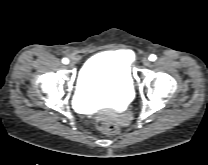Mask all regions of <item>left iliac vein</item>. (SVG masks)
I'll return each instance as SVG.
<instances>
[{"instance_id":"1","label":"left iliac vein","mask_w":208,"mask_h":165,"mask_svg":"<svg viewBox=\"0 0 208 165\" xmlns=\"http://www.w3.org/2000/svg\"><path fill=\"white\" fill-rule=\"evenodd\" d=\"M142 63L144 66H149L150 65V60L148 58H143Z\"/></svg>"}]
</instances>
